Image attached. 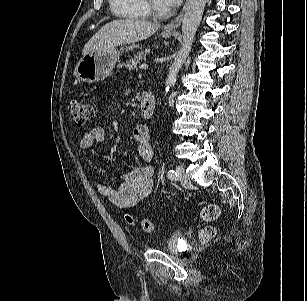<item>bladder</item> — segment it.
Instances as JSON below:
<instances>
[{"label": "bladder", "instance_id": "obj_1", "mask_svg": "<svg viewBox=\"0 0 307 301\" xmlns=\"http://www.w3.org/2000/svg\"><path fill=\"white\" fill-rule=\"evenodd\" d=\"M163 247L166 251L170 252L171 254L178 253L180 250L178 238L175 235L171 236L169 239H167Z\"/></svg>", "mask_w": 307, "mask_h": 301}]
</instances>
